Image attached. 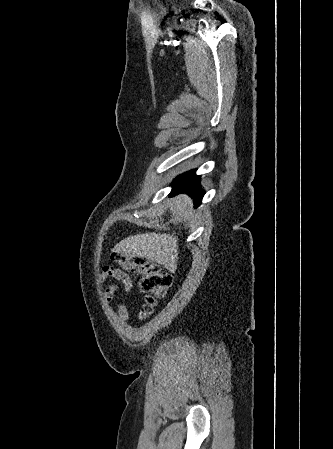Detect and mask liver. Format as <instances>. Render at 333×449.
I'll use <instances>...</instances> for the list:
<instances>
[{
    "label": "liver",
    "mask_w": 333,
    "mask_h": 449,
    "mask_svg": "<svg viewBox=\"0 0 333 449\" xmlns=\"http://www.w3.org/2000/svg\"><path fill=\"white\" fill-rule=\"evenodd\" d=\"M173 213V222L186 219L193 210V202L187 195L176 197L169 204ZM178 237L156 234L154 232L144 233L124 238L114 247L113 251L145 257L156 263L162 264L170 270L176 269L178 256Z\"/></svg>",
    "instance_id": "6515ba94"
}]
</instances>
